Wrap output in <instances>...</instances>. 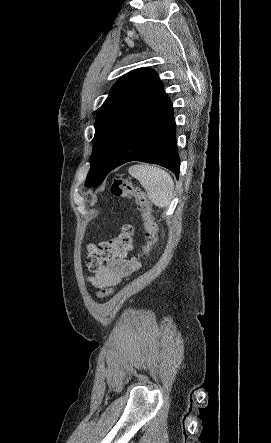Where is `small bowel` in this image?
Wrapping results in <instances>:
<instances>
[{
	"label": "small bowel",
	"mask_w": 271,
	"mask_h": 443,
	"mask_svg": "<svg viewBox=\"0 0 271 443\" xmlns=\"http://www.w3.org/2000/svg\"><path fill=\"white\" fill-rule=\"evenodd\" d=\"M139 267L135 258L119 257L102 267L88 281L96 288L117 285L121 279L131 275Z\"/></svg>",
	"instance_id": "1"
}]
</instances>
